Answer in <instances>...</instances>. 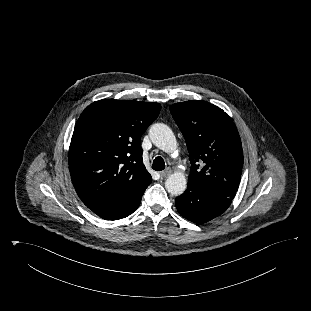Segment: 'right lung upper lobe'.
Segmentation results:
<instances>
[{"instance_id": "obj_1", "label": "right lung upper lobe", "mask_w": 311, "mask_h": 311, "mask_svg": "<svg viewBox=\"0 0 311 311\" xmlns=\"http://www.w3.org/2000/svg\"><path fill=\"white\" fill-rule=\"evenodd\" d=\"M160 109L159 103L100 100L82 112L68 163L73 186L87 207L121 210L142 197L152 178L143 164L141 136Z\"/></svg>"}]
</instances>
